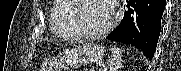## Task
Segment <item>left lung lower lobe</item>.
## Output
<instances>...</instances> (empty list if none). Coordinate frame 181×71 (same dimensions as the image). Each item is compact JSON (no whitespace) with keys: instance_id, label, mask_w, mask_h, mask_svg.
Listing matches in <instances>:
<instances>
[{"instance_id":"0a47b994","label":"left lung lower lobe","mask_w":181,"mask_h":71,"mask_svg":"<svg viewBox=\"0 0 181 71\" xmlns=\"http://www.w3.org/2000/svg\"><path fill=\"white\" fill-rule=\"evenodd\" d=\"M121 24L107 39L122 42L142 50L153 58L161 30V19L166 0H126Z\"/></svg>"}]
</instances>
